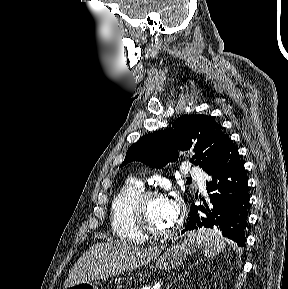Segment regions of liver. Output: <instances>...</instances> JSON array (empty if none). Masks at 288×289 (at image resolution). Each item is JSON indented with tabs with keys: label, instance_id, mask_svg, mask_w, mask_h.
<instances>
[{
	"label": "liver",
	"instance_id": "obj_1",
	"mask_svg": "<svg viewBox=\"0 0 288 289\" xmlns=\"http://www.w3.org/2000/svg\"><path fill=\"white\" fill-rule=\"evenodd\" d=\"M162 251L160 247L139 248L110 241L89 248L69 271L64 287L99 280L149 264Z\"/></svg>",
	"mask_w": 288,
	"mask_h": 289
}]
</instances>
